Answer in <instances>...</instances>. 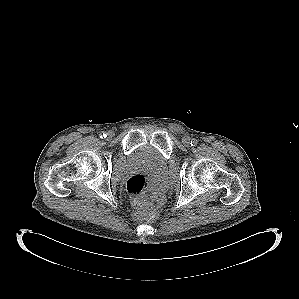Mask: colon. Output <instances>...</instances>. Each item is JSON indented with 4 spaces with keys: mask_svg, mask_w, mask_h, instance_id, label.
Returning a JSON list of instances; mask_svg holds the SVG:
<instances>
[{
    "mask_svg": "<svg viewBox=\"0 0 299 299\" xmlns=\"http://www.w3.org/2000/svg\"><path fill=\"white\" fill-rule=\"evenodd\" d=\"M152 186L153 182L150 177L143 173H136L127 180V191L140 217L148 218L155 213V206L150 198Z\"/></svg>",
    "mask_w": 299,
    "mask_h": 299,
    "instance_id": "colon-1",
    "label": "colon"
}]
</instances>
